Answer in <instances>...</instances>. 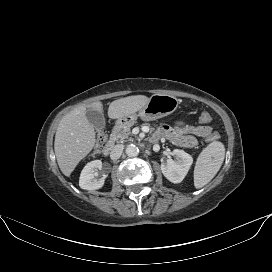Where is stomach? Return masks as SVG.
Listing matches in <instances>:
<instances>
[{
	"mask_svg": "<svg viewBox=\"0 0 272 272\" xmlns=\"http://www.w3.org/2000/svg\"><path fill=\"white\" fill-rule=\"evenodd\" d=\"M179 105V100L167 94L152 95L147 104L138 111L118 119L117 124L127 125L133 123L138 117L144 121H152L173 113Z\"/></svg>",
	"mask_w": 272,
	"mask_h": 272,
	"instance_id": "1",
	"label": "stomach"
}]
</instances>
